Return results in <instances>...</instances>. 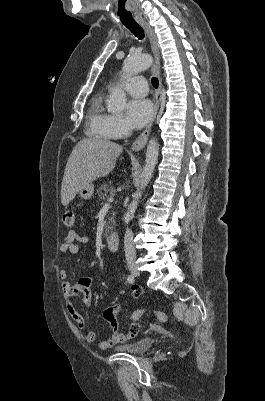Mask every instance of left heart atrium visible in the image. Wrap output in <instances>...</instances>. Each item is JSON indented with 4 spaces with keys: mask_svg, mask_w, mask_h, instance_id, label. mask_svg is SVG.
<instances>
[{
    "mask_svg": "<svg viewBox=\"0 0 265 401\" xmlns=\"http://www.w3.org/2000/svg\"><path fill=\"white\" fill-rule=\"evenodd\" d=\"M153 109L148 100L129 101L126 106V115L135 128H142L152 117Z\"/></svg>",
    "mask_w": 265,
    "mask_h": 401,
    "instance_id": "39dd6f15",
    "label": "left heart atrium"
}]
</instances>
